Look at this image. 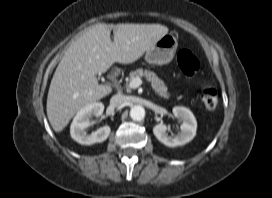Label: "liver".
<instances>
[{
  "label": "liver",
  "mask_w": 272,
  "mask_h": 198,
  "mask_svg": "<svg viewBox=\"0 0 272 198\" xmlns=\"http://www.w3.org/2000/svg\"><path fill=\"white\" fill-rule=\"evenodd\" d=\"M168 31L160 24L99 23L89 27L67 49L51 80L47 116L54 131L61 132L76 112L112 92L110 86L98 83L97 74L115 62L137 61Z\"/></svg>",
  "instance_id": "1"
}]
</instances>
